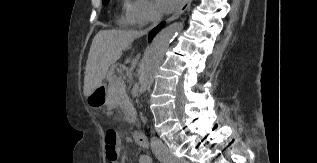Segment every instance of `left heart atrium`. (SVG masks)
Returning a JSON list of instances; mask_svg holds the SVG:
<instances>
[{"label": "left heart atrium", "mask_w": 317, "mask_h": 163, "mask_svg": "<svg viewBox=\"0 0 317 163\" xmlns=\"http://www.w3.org/2000/svg\"><path fill=\"white\" fill-rule=\"evenodd\" d=\"M182 0H155L157 8L162 12L173 11Z\"/></svg>", "instance_id": "1"}]
</instances>
